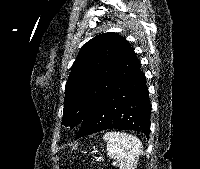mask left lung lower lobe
<instances>
[{"instance_id": "1", "label": "left lung lower lobe", "mask_w": 200, "mask_h": 169, "mask_svg": "<svg viewBox=\"0 0 200 169\" xmlns=\"http://www.w3.org/2000/svg\"><path fill=\"white\" fill-rule=\"evenodd\" d=\"M106 129L136 130L149 135V92L140 67L94 105L75 139Z\"/></svg>"}]
</instances>
